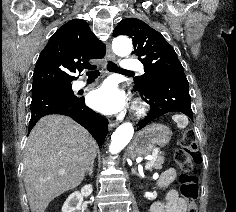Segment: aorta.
<instances>
[{"mask_svg": "<svg viewBox=\"0 0 236 212\" xmlns=\"http://www.w3.org/2000/svg\"><path fill=\"white\" fill-rule=\"evenodd\" d=\"M112 48L118 56H128L132 51V42L125 36H119L113 40ZM133 134L134 128L131 123L126 122L121 124L111 137L110 153H119L130 142Z\"/></svg>", "mask_w": 236, "mask_h": 212, "instance_id": "1", "label": "aorta"}]
</instances>
